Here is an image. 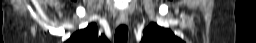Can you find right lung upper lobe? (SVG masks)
<instances>
[{"label": "right lung upper lobe", "instance_id": "obj_1", "mask_svg": "<svg viewBox=\"0 0 256 43\" xmlns=\"http://www.w3.org/2000/svg\"><path fill=\"white\" fill-rule=\"evenodd\" d=\"M108 39L101 35L98 37V28L94 23L89 24L85 29L74 33L66 43H108Z\"/></svg>", "mask_w": 256, "mask_h": 43}]
</instances>
